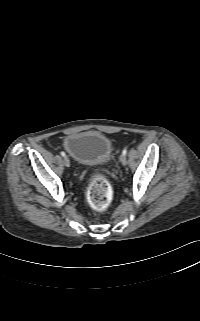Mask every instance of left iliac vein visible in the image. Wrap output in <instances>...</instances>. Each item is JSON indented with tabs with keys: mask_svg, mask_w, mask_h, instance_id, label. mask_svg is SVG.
Masks as SVG:
<instances>
[{
	"mask_svg": "<svg viewBox=\"0 0 200 321\" xmlns=\"http://www.w3.org/2000/svg\"><path fill=\"white\" fill-rule=\"evenodd\" d=\"M120 162L123 164V165H126L127 164V159H126V156L125 155H121L120 156Z\"/></svg>",
	"mask_w": 200,
	"mask_h": 321,
	"instance_id": "1",
	"label": "left iliac vein"
}]
</instances>
